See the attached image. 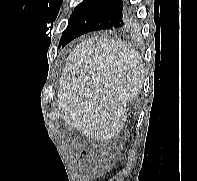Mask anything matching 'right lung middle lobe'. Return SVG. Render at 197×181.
<instances>
[{
	"label": "right lung middle lobe",
	"instance_id": "1",
	"mask_svg": "<svg viewBox=\"0 0 197 181\" xmlns=\"http://www.w3.org/2000/svg\"><path fill=\"white\" fill-rule=\"evenodd\" d=\"M83 12V10H77L75 9V11L71 14V17L69 19V23L68 26L66 28V30L63 32L62 34V38H61V43L63 42V40L66 38L70 28L72 27V25L74 24V22L76 21V19L81 15V13Z\"/></svg>",
	"mask_w": 197,
	"mask_h": 181
}]
</instances>
